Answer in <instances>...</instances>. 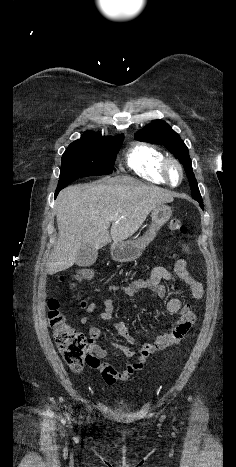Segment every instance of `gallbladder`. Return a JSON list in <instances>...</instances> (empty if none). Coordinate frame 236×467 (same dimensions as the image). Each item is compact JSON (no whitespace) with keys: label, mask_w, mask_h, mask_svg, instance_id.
<instances>
[{"label":"gallbladder","mask_w":236,"mask_h":467,"mask_svg":"<svg viewBox=\"0 0 236 467\" xmlns=\"http://www.w3.org/2000/svg\"><path fill=\"white\" fill-rule=\"evenodd\" d=\"M97 257L98 250L90 244H85L78 251L75 263L81 267H88L96 262Z\"/></svg>","instance_id":"obj_1"}]
</instances>
